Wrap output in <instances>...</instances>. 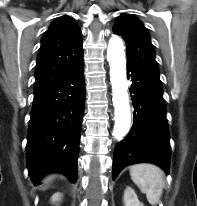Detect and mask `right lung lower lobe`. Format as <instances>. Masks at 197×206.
<instances>
[{
    "instance_id": "1",
    "label": "right lung lower lobe",
    "mask_w": 197,
    "mask_h": 206,
    "mask_svg": "<svg viewBox=\"0 0 197 206\" xmlns=\"http://www.w3.org/2000/svg\"><path fill=\"white\" fill-rule=\"evenodd\" d=\"M84 64L51 87L34 94L27 136V168L35 185L49 172L77 179L83 119Z\"/></svg>"
}]
</instances>
